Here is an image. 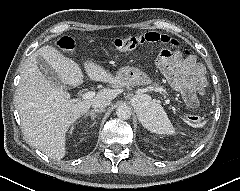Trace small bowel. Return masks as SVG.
<instances>
[{"label": "small bowel", "instance_id": "c3829d8e", "mask_svg": "<svg viewBox=\"0 0 240 191\" xmlns=\"http://www.w3.org/2000/svg\"><path fill=\"white\" fill-rule=\"evenodd\" d=\"M165 74L173 88L181 92L187 105L195 108L198 105V94H203L207 87L205 70L195 56L181 58L175 53L166 65Z\"/></svg>", "mask_w": 240, "mask_h": 191}]
</instances>
